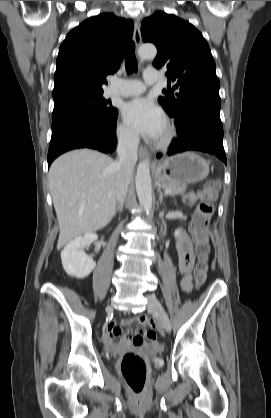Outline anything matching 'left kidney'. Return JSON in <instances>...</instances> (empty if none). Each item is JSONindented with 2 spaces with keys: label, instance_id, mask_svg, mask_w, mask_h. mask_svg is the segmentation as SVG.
I'll use <instances>...</instances> for the list:
<instances>
[{
  "label": "left kidney",
  "instance_id": "obj_1",
  "mask_svg": "<svg viewBox=\"0 0 271 418\" xmlns=\"http://www.w3.org/2000/svg\"><path fill=\"white\" fill-rule=\"evenodd\" d=\"M180 235V231L179 230H176L175 231V236H179Z\"/></svg>",
  "mask_w": 271,
  "mask_h": 418
}]
</instances>
